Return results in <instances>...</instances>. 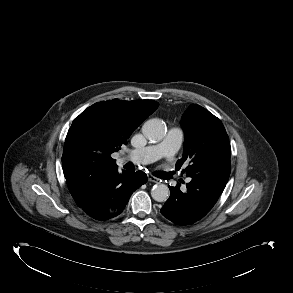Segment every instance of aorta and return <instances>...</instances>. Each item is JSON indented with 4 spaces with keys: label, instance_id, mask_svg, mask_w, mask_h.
<instances>
[{
    "label": "aorta",
    "instance_id": "1",
    "mask_svg": "<svg viewBox=\"0 0 293 293\" xmlns=\"http://www.w3.org/2000/svg\"><path fill=\"white\" fill-rule=\"evenodd\" d=\"M142 133L148 140L159 142L166 134V125L162 120L153 118L144 123ZM169 195V188L165 184H157L151 190V196L157 202H165Z\"/></svg>",
    "mask_w": 293,
    "mask_h": 293
}]
</instances>
